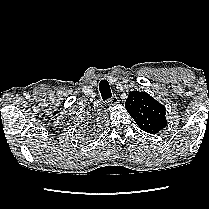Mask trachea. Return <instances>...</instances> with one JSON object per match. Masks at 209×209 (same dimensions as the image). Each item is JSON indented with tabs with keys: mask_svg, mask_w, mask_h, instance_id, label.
<instances>
[{
	"mask_svg": "<svg viewBox=\"0 0 209 209\" xmlns=\"http://www.w3.org/2000/svg\"><path fill=\"white\" fill-rule=\"evenodd\" d=\"M99 90L104 101L112 97L110 85L107 80L104 79L100 81Z\"/></svg>",
	"mask_w": 209,
	"mask_h": 209,
	"instance_id": "3493384b",
	"label": "trachea"
}]
</instances>
